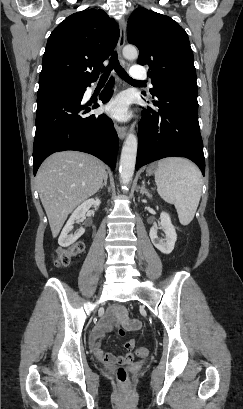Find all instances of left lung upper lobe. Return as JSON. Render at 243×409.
I'll use <instances>...</instances> for the list:
<instances>
[{
    "label": "left lung upper lobe",
    "mask_w": 243,
    "mask_h": 409,
    "mask_svg": "<svg viewBox=\"0 0 243 409\" xmlns=\"http://www.w3.org/2000/svg\"><path fill=\"white\" fill-rule=\"evenodd\" d=\"M128 42L139 49L138 62L149 65L154 96L174 80H196L193 51L185 30L168 16L139 7L128 20Z\"/></svg>",
    "instance_id": "5c2ea615"
}]
</instances>
